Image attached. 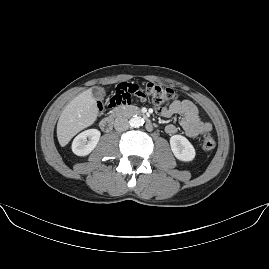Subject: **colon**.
<instances>
[{"instance_id": "5ec220e1", "label": "colon", "mask_w": 269, "mask_h": 269, "mask_svg": "<svg viewBox=\"0 0 269 269\" xmlns=\"http://www.w3.org/2000/svg\"><path fill=\"white\" fill-rule=\"evenodd\" d=\"M108 97L105 103L108 107H115L123 103H144L149 102L156 106L168 105L177 99L176 93L168 86H162L155 82H144L141 85L137 82L116 85L108 89ZM94 99L100 100L102 92L96 91ZM202 148L211 152L216 148V141L209 133L202 136Z\"/></svg>"}]
</instances>
